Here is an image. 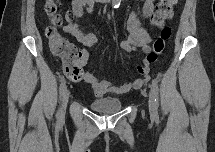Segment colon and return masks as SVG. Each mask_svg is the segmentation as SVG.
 Returning <instances> with one entry per match:
<instances>
[{"mask_svg": "<svg viewBox=\"0 0 215 152\" xmlns=\"http://www.w3.org/2000/svg\"><path fill=\"white\" fill-rule=\"evenodd\" d=\"M175 2L176 0H161L157 4L152 18L156 25L162 26L167 19L172 17ZM58 5V0H49L44 7L45 13L50 19V26L46 31L49 47L55 55L62 59L64 74L71 80H79L83 76V52L59 33V29L64 22H71L74 15L68 13L63 16L58 11ZM170 35L171 29L167 26L162 27L160 36L154 41L152 49L146 54L143 64L138 66V71L141 74L148 73L149 66L157 61Z\"/></svg>", "mask_w": 215, "mask_h": 152, "instance_id": "obj_1", "label": "colon"}]
</instances>
